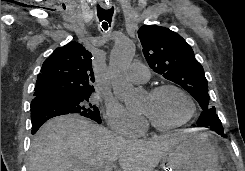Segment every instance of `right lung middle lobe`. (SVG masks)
<instances>
[{
  "instance_id": "right-lung-middle-lobe-1",
  "label": "right lung middle lobe",
  "mask_w": 245,
  "mask_h": 171,
  "mask_svg": "<svg viewBox=\"0 0 245 171\" xmlns=\"http://www.w3.org/2000/svg\"><path fill=\"white\" fill-rule=\"evenodd\" d=\"M90 94L82 95H53L48 100L58 103L67 109L70 113H78L84 117L90 118L97 123H101L99 109L89 103Z\"/></svg>"
}]
</instances>
